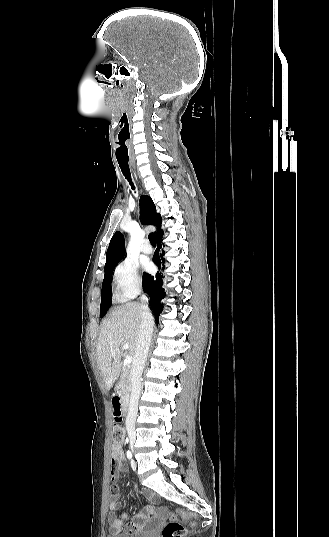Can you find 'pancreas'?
I'll list each match as a JSON object with an SVG mask.
<instances>
[{
	"mask_svg": "<svg viewBox=\"0 0 329 537\" xmlns=\"http://www.w3.org/2000/svg\"><path fill=\"white\" fill-rule=\"evenodd\" d=\"M117 388H118V392L123 396V398L129 399L131 385H130L129 375L127 372L122 373L120 381L117 385Z\"/></svg>",
	"mask_w": 329,
	"mask_h": 537,
	"instance_id": "obj_1",
	"label": "pancreas"
}]
</instances>
